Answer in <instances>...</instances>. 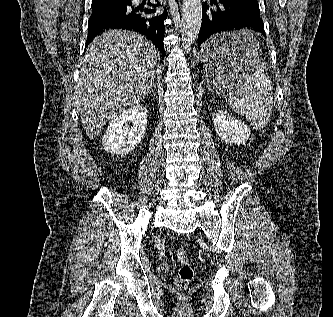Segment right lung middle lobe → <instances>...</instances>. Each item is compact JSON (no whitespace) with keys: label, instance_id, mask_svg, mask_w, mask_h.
I'll return each instance as SVG.
<instances>
[{"label":"right lung middle lobe","instance_id":"1","mask_svg":"<svg viewBox=\"0 0 333 317\" xmlns=\"http://www.w3.org/2000/svg\"><path fill=\"white\" fill-rule=\"evenodd\" d=\"M126 1H118V0H93L92 1V6H99V5H103V4H120V3H124Z\"/></svg>","mask_w":333,"mask_h":317}]
</instances>
